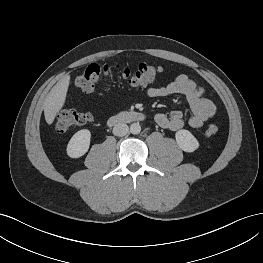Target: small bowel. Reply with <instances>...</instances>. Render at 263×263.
I'll list each match as a JSON object with an SVG mask.
<instances>
[{"label":"small bowel","instance_id":"1","mask_svg":"<svg viewBox=\"0 0 263 263\" xmlns=\"http://www.w3.org/2000/svg\"><path fill=\"white\" fill-rule=\"evenodd\" d=\"M204 94V88L184 74L175 77L166 86H152L148 89V95L152 98L170 95H182L186 98L192 111L187 120L183 111L179 109L169 114L160 112L155 115V121L160 127L172 131L180 130L186 123L192 128H200L214 117L216 107Z\"/></svg>","mask_w":263,"mask_h":263}]
</instances>
